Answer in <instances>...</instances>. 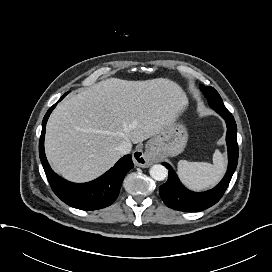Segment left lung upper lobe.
Returning <instances> with one entry per match:
<instances>
[{"label": "left lung upper lobe", "instance_id": "5c2ea615", "mask_svg": "<svg viewBox=\"0 0 272 272\" xmlns=\"http://www.w3.org/2000/svg\"><path fill=\"white\" fill-rule=\"evenodd\" d=\"M200 88H201V91L204 93V95L207 97L208 102L215 101V100L222 102L220 95L213 87L200 85Z\"/></svg>", "mask_w": 272, "mask_h": 272}]
</instances>
